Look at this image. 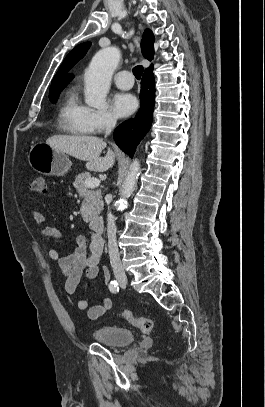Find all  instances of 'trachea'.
Listing matches in <instances>:
<instances>
[{
	"label": "trachea",
	"mask_w": 265,
	"mask_h": 407,
	"mask_svg": "<svg viewBox=\"0 0 265 407\" xmlns=\"http://www.w3.org/2000/svg\"><path fill=\"white\" fill-rule=\"evenodd\" d=\"M143 73V67L141 65H137L133 68V74L139 80Z\"/></svg>",
	"instance_id": "3493384b"
}]
</instances>
